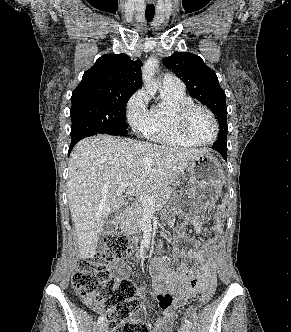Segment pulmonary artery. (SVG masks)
Masks as SVG:
<instances>
[{"mask_svg": "<svg viewBox=\"0 0 291 332\" xmlns=\"http://www.w3.org/2000/svg\"><path fill=\"white\" fill-rule=\"evenodd\" d=\"M162 86L164 89L173 91H184V83L173 74H165L162 78Z\"/></svg>", "mask_w": 291, "mask_h": 332, "instance_id": "pulmonary-artery-1", "label": "pulmonary artery"}]
</instances>
